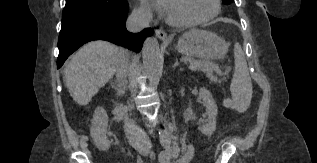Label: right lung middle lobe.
<instances>
[{"label":"right lung middle lobe","instance_id":"1","mask_svg":"<svg viewBox=\"0 0 317 163\" xmlns=\"http://www.w3.org/2000/svg\"><path fill=\"white\" fill-rule=\"evenodd\" d=\"M128 7L127 0H66L62 23L74 21L98 11Z\"/></svg>","mask_w":317,"mask_h":163}]
</instances>
